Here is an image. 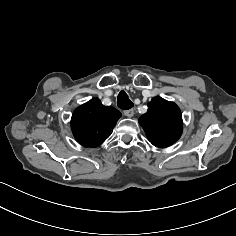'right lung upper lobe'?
<instances>
[{"label": "right lung upper lobe", "instance_id": "1", "mask_svg": "<svg viewBox=\"0 0 236 236\" xmlns=\"http://www.w3.org/2000/svg\"><path fill=\"white\" fill-rule=\"evenodd\" d=\"M121 113L93 98L75 109L71 129L77 142L84 147H97L112 133Z\"/></svg>", "mask_w": 236, "mask_h": 236}]
</instances>
